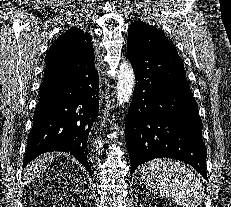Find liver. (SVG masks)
Listing matches in <instances>:
<instances>
[{"label":"liver","instance_id":"liver-1","mask_svg":"<svg viewBox=\"0 0 231 207\" xmlns=\"http://www.w3.org/2000/svg\"><path fill=\"white\" fill-rule=\"evenodd\" d=\"M54 158V154H45L44 156L31 162L26 168L25 178L30 180L43 173Z\"/></svg>","mask_w":231,"mask_h":207}]
</instances>
